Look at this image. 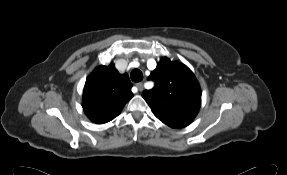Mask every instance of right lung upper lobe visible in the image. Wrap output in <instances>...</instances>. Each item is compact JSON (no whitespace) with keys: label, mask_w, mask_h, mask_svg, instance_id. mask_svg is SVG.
<instances>
[{"label":"right lung upper lobe","mask_w":287,"mask_h":175,"mask_svg":"<svg viewBox=\"0 0 287 175\" xmlns=\"http://www.w3.org/2000/svg\"><path fill=\"white\" fill-rule=\"evenodd\" d=\"M131 87L128 75L120 74L114 64L98 66L86 79L82 103L85 114L97 124L111 121L133 97Z\"/></svg>","instance_id":"right-lung-upper-lobe-1"}]
</instances>
